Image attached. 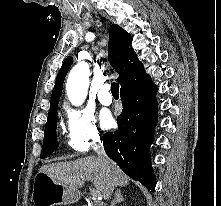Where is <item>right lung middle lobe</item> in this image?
I'll return each mask as SVG.
<instances>
[{
	"instance_id": "right-lung-middle-lobe-1",
	"label": "right lung middle lobe",
	"mask_w": 221,
	"mask_h": 206,
	"mask_svg": "<svg viewBox=\"0 0 221 206\" xmlns=\"http://www.w3.org/2000/svg\"><path fill=\"white\" fill-rule=\"evenodd\" d=\"M56 127H57V107L48 114V120L45 126V134H44L41 158H44L47 155L51 154L58 147Z\"/></svg>"
}]
</instances>
